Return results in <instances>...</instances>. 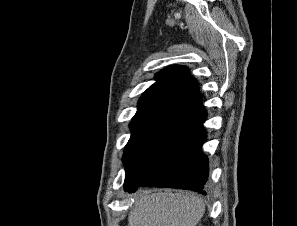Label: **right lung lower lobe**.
Returning <instances> with one entry per match:
<instances>
[{"mask_svg": "<svg viewBox=\"0 0 297 226\" xmlns=\"http://www.w3.org/2000/svg\"><path fill=\"white\" fill-rule=\"evenodd\" d=\"M206 117L204 107L197 103L169 119L127 174L124 190L132 193L138 187L152 186L206 195L209 166L202 153L207 137L202 125Z\"/></svg>", "mask_w": 297, "mask_h": 226, "instance_id": "1", "label": "right lung lower lobe"}]
</instances>
